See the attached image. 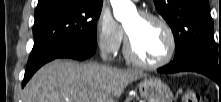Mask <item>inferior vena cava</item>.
<instances>
[{
    "instance_id": "obj_1",
    "label": "inferior vena cava",
    "mask_w": 221,
    "mask_h": 102,
    "mask_svg": "<svg viewBox=\"0 0 221 102\" xmlns=\"http://www.w3.org/2000/svg\"><path fill=\"white\" fill-rule=\"evenodd\" d=\"M109 50L107 47H105L101 52V57L105 61L108 58Z\"/></svg>"
}]
</instances>
